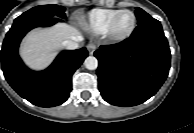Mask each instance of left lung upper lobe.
I'll return each instance as SVG.
<instances>
[{"instance_id":"left-lung-upper-lobe-1","label":"left lung upper lobe","mask_w":194,"mask_h":133,"mask_svg":"<svg viewBox=\"0 0 194 133\" xmlns=\"http://www.w3.org/2000/svg\"><path fill=\"white\" fill-rule=\"evenodd\" d=\"M135 12H136V17L138 19V24L152 18L148 13H146L141 8H136Z\"/></svg>"}]
</instances>
